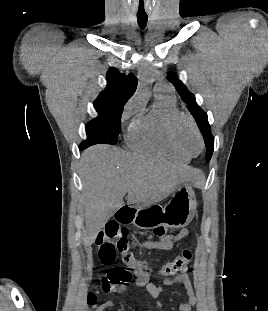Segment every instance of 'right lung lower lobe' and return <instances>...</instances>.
Returning a JSON list of instances; mask_svg holds the SVG:
<instances>
[{
    "instance_id": "98d812e1",
    "label": "right lung lower lobe",
    "mask_w": 268,
    "mask_h": 311,
    "mask_svg": "<svg viewBox=\"0 0 268 311\" xmlns=\"http://www.w3.org/2000/svg\"><path fill=\"white\" fill-rule=\"evenodd\" d=\"M80 150H83L82 147H79Z\"/></svg>"
}]
</instances>
